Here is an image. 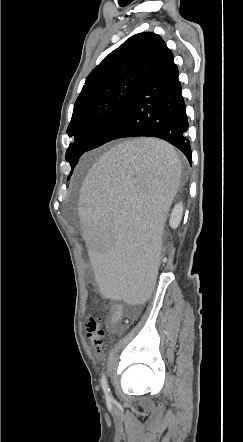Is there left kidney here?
Segmentation results:
<instances>
[{
  "label": "left kidney",
  "mask_w": 243,
  "mask_h": 442,
  "mask_svg": "<svg viewBox=\"0 0 243 442\" xmlns=\"http://www.w3.org/2000/svg\"><path fill=\"white\" fill-rule=\"evenodd\" d=\"M182 215H183V204L180 202L177 203L171 211L169 219V224L171 228L176 229L179 226L182 219Z\"/></svg>",
  "instance_id": "1"
}]
</instances>
